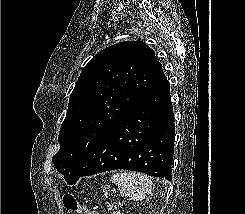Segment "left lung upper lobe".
<instances>
[{"mask_svg": "<svg viewBox=\"0 0 245 214\" xmlns=\"http://www.w3.org/2000/svg\"><path fill=\"white\" fill-rule=\"evenodd\" d=\"M154 51L142 41L116 43L83 68L69 99L52 162L66 176L101 136L166 81Z\"/></svg>", "mask_w": 245, "mask_h": 214, "instance_id": "1", "label": "left lung upper lobe"}]
</instances>
